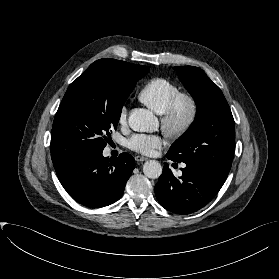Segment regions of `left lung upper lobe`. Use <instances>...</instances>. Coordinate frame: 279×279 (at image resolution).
<instances>
[{"label":"left lung upper lobe","instance_id":"left-lung-upper-lobe-1","mask_svg":"<svg viewBox=\"0 0 279 279\" xmlns=\"http://www.w3.org/2000/svg\"><path fill=\"white\" fill-rule=\"evenodd\" d=\"M197 105L195 121L187 134L170 148L167 157L187 166L210 169L227 178L232 165L235 125L219 87L193 66L174 67Z\"/></svg>","mask_w":279,"mask_h":279}]
</instances>
